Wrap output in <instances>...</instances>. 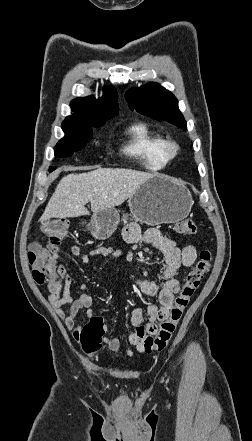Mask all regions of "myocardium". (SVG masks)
<instances>
[{"instance_id": "obj_1", "label": "myocardium", "mask_w": 252, "mask_h": 441, "mask_svg": "<svg viewBox=\"0 0 252 441\" xmlns=\"http://www.w3.org/2000/svg\"><path fill=\"white\" fill-rule=\"evenodd\" d=\"M180 147L177 142L173 140H164L162 145V153L168 159H174L179 154Z\"/></svg>"}]
</instances>
